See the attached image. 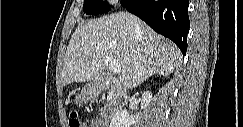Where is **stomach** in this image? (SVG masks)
Listing matches in <instances>:
<instances>
[{
    "label": "stomach",
    "instance_id": "obj_1",
    "mask_svg": "<svg viewBox=\"0 0 243 127\" xmlns=\"http://www.w3.org/2000/svg\"><path fill=\"white\" fill-rule=\"evenodd\" d=\"M96 92V88L93 84H88L84 90L75 96L76 104H81L84 102L89 96L93 95Z\"/></svg>",
    "mask_w": 243,
    "mask_h": 127
}]
</instances>
